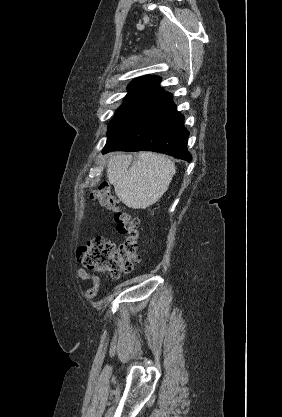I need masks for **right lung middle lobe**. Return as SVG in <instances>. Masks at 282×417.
<instances>
[{
	"mask_svg": "<svg viewBox=\"0 0 282 417\" xmlns=\"http://www.w3.org/2000/svg\"><path fill=\"white\" fill-rule=\"evenodd\" d=\"M160 96L158 94L130 92L126 96L124 103L117 109L114 118L108 126V139L139 117Z\"/></svg>",
	"mask_w": 282,
	"mask_h": 417,
	"instance_id": "dd1d6c3e",
	"label": "right lung middle lobe"
}]
</instances>
